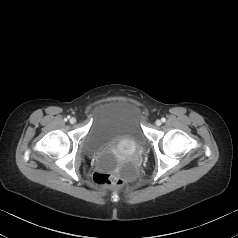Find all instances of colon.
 <instances>
[{
  "label": "colon",
  "mask_w": 238,
  "mask_h": 238,
  "mask_svg": "<svg viewBox=\"0 0 238 238\" xmlns=\"http://www.w3.org/2000/svg\"><path fill=\"white\" fill-rule=\"evenodd\" d=\"M93 181L101 187L116 188L125 182V177L121 172L116 170H97L93 174Z\"/></svg>",
  "instance_id": "1"
}]
</instances>
